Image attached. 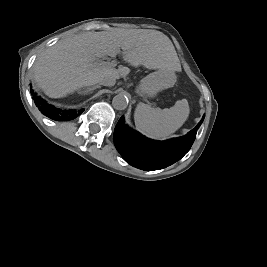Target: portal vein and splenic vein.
<instances>
[{"label":"portal vein and splenic vein","instance_id":"portal-vein-and-splenic-vein-1","mask_svg":"<svg viewBox=\"0 0 267 267\" xmlns=\"http://www.w3.org/2000/svg\"><path fill=\"white\" fill-rule=\"evenodd\" d=\"M99 65H115V62L109 63V62H105V61H98L97 62Z\"/></svg>","mask_w":267,"mask_h":267}]
</instances>
